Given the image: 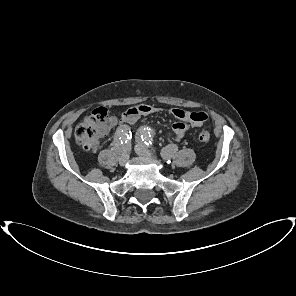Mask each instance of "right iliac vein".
<instances>
[{
  "mask_svg": "<svg viewBox=\"0 0 296 296\" xmlns=\"http://www.w3.org/2000/svg\"><path fill=\"white\" fill-rule=\"evenodd\" d=\"M128 160H129V153H128V150L125 149L121 154V156L119 157V164L121 166H125Z\"/></svg>",
  "mask_w": 296,
  "mask_h": 296,
  "instance_id": "right-iliac-vein-1",
  "label": "right iliac vein"
}]
</instances>
